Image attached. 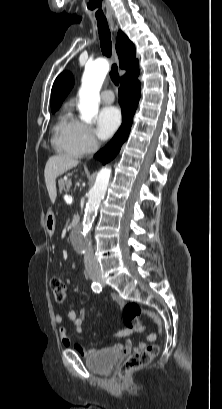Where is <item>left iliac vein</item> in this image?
<instances>
[{
    "mask_svg": "<svg viewBox=\"0 0 222 409\" xmlns=\"http://www.w3.org/2000/svg\"><path fill=\"white\" fill-rule=\"evenodd\" d=\"M101 284H102L103 286H105V283H104V281H102V280H101Z\"/></svg>",
    "mask_w": 222,
    "mask_h": 409,
    "instance_id": "1",
    "label": "left iliac vein"
}]
</instances>
